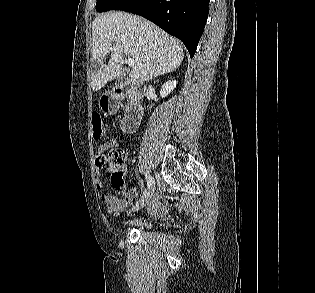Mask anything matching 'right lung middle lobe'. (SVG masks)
<instances>
[{
	"label": "right lung middle lobe",
	"instance_id": "1",
	"mask_svg": "<svg viewBox=\"0 0 315 293\" xmlns=\"http://www.w3.org/2000/svg\"><path fill=\"white\" fill-rule=\"evenodd\" d=\"M121 0H97L96 10L98 12H104L111 10Z\"/></svg>",
	"mask_w": 315,
	"mask_h": 293
}]
</instances>
